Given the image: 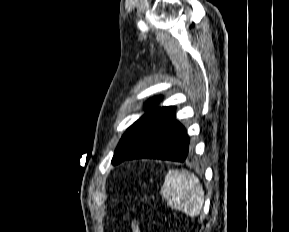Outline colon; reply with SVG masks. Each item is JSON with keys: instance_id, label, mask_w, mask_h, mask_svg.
I'll return each instance as SVG.
<instances>
[{"instance_id": "1", "label": "colon", "mask_w": 289, "mask_h": 232, "mask_svg": "<svg viewBox=\"0 0 289 232\" xmlns=\"http://www.w3.org/2000/svg\"><path fill=\"white\" fill-rule=\"evenodd\" d=\"M131 232H141L140 223L137 219L131 221Z\"/></svg>"}]
</instances>
